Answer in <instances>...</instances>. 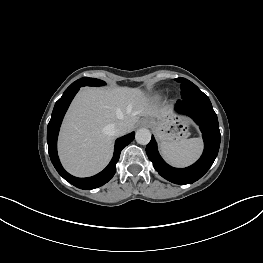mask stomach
Wrapping results in <instances>:
<instances>
[{
    "label": "stomach",
    "instance_id": "obj_1",
    "mask_svg": "<svg viewBox=\"0 0 263 263\" xmlns=\"http://www.w3.org/2000/svg\"><path fill=\"white\" fill-rule=\"evenodd\" d=\"M151 125L161 142H171L190 135L191 121L183 116H171L158 122L151 121Z\"/></svg>",
    "mask_w": 263,
    "mask_h": 263
}]
</instances>
